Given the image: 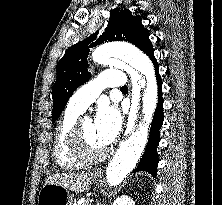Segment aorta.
<instances>
[{
    "label": "aorta",
    "mask_w": 222,
    "mask_h": 205,
    "mask_svg": "<svg viewBox=\"0 0 222 205\" xmlns=\"http://www.w3.org/2000/svg\"><path fill=\"white\" fill-rule=\"evenodd\" d=\"M107 65L122 67L133 77V101L124 138L106 167L104 184L117 188L132 171L147 146L157 105L158 87L150 59L128 43H108L99 48Z\"/></svg>",
    "instance_id": "aorta-1"
}]
</instances>
